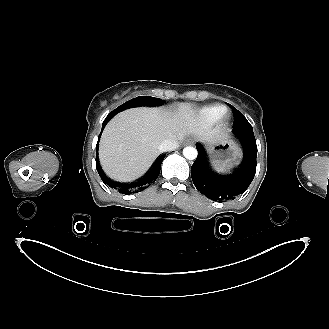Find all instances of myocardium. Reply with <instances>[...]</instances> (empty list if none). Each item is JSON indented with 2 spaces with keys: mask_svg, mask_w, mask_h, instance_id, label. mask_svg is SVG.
Segmentation results:
<instances>
[{
  "mask_svg": "<svg viewBox=\"0 0 329 329\" xmlns=\"http://www.w3.org/2000/svg\"><path fill=\"white\" fill-rule=\"evenodd\" d=\"M223 118L227 119V118H228V116H227V115H224V116H223Z\"/></svg>",
  "mask_w": 329,
  "mask_h": 329,
  "instance_id": "myocardium-1",
  "label": "myocardium"
}]
</instances>
